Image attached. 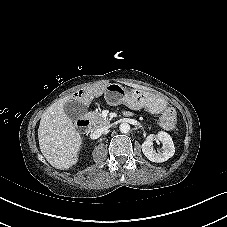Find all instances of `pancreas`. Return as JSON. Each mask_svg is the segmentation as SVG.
I'll return each instance as SVG.
<instances>
[{"mask_svg": "<svg viewBox=\"0 0 227 227\" xmlns=\"http://www.w3.org/2000/svg\"><path fill=\"white\" fill-rule=\"evenodd\" d=\"M88 116L96 128L106 126L110 123L109 120L107 118H103L99 112H90Z\"/></svg>", "mask_w": 227, "mask_h": 227, "instance_id": "pancreas-1", "label": "pancreas"}]
</instances>
